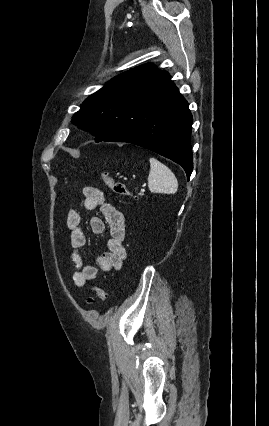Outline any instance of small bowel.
<instances>
[{"label":"small bowel","mask_w":269,"mask_h":426,"mask_svg":"<svg viewBox=\"0 0 269 426\" xmlns=\"http://www.w3.org/2000/svg\"><path fill=\"white\" fill-rule=\"evenodd\" d=\"M84 207L88 211L99 209L101 216L90 219V228L93 234L100 235L107 229L109 232L108 249L96 260V266L84 261L81 250L86 244V235L82 228L80 214L69 210L65 223L70 230L71 261L70 276L74 285L84 287L88 282L96 279L98 270L109 272L120 269L126 261L125 221L121 212L110 204L104 193L97 187H84L82 190Z\"/></svg>","instance_id":"1"}]
</instances>
